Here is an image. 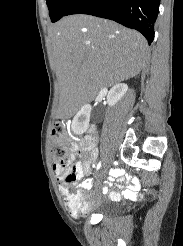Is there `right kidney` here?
<instances>
[{"mask_svg":"<svg viewBox=\"0 0 183 246\" xmlns=\"http://www.w3.org/2000/svg\"><path fill=\"white\" fill-rule=\"evenodd\" d=\"M128 86L125 83L114 85L108 92L107 103L110 107L114 106L127 92ZM91 106L84 105L76 114L72 121V130L76 134L83 133L88 125L90 118Z\"/></svg>","mask_w":183,"mask_h":246,"instance_id":"right-kidney-1","label":"right kidney"}]
</instances>
